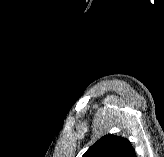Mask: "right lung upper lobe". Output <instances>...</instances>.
<instances>
[{"label":"right lung upper lobe","instance_id":"cb5924a9","mask_svg":"<svg viewBox=\"0 0 164 157\" xmlns=\"http://www.w3.org/2000/svg\"><path fill=\"white\" fill-rule=\"evenodd\" d=\"M134 148L128 139L105 135L94 143L82 157H134Z\"/></svg>","mask_w":164,"mask_h":157}]
</instances>
